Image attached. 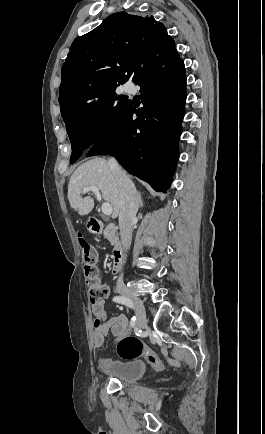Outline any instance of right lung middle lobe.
Returning <instances> with one entry per match:
<instances>
[{
  "instance_id": "dd1d6c3e",
  "label": "right lung middle lobe",
  "mask_w": 265,
  "mask_h": 434,
  "mask_svg": "<svg viewBox=\"0 0 265 434\" xmlns=\"http://www.w3.org/2000/svg\"><path fill=\"white\" fill-rule=\"evenodd\" d=\"M123 83L106 81L59 99L72 146L71 163L111 132L125 116L132 101L116 93V88Z\"/></svg>"
}]
</instances>
